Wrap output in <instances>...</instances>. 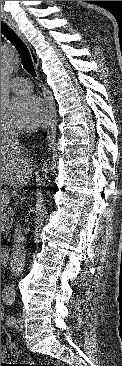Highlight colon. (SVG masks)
I'll list each match as a JSON object with an SVG mask.
<instances>
[{"instance_id":"1","label":"colon","mask_w":122,"mask_h":366,"mask_svg":"<svg viewBox=\"0 0 122 366\" xmlns=\"http://www.w3.org/2000/svg\"><path fill=\"white\" fill-rule=\"evenodd\" d=\"M1 359L15 360L16 351L9 342L5 330L1 328ZM12 366H56L54 364L33 365V363L12 364Z\"/></svg>"}]
</instances>
